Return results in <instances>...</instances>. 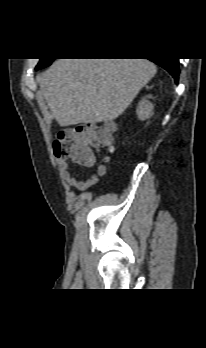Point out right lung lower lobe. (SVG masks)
Listing matches in <instances>:
<instances>
[{
	"instance_id": "obj_1",
	"label": "right lung lower lobe",
	"mask_w": 206,
	"mask_h": 348,
	"mask_svg": "<svg viewBox=\"0 0 206 348\" xmlns=\"http://www.w3.org/2000/svg\"><path fill=\"white\" fill-rule=\"evenodd\" d=\"M151 61L163 67L165 70H167L172 75L175 82L178 83V79H179V60L178 59L164 58V59H154Z\"/></svg>"
}]
</instances>
